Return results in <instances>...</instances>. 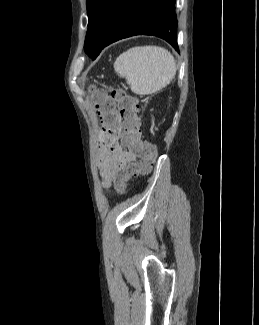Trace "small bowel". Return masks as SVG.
<instances>
[{"label": "small bowel", "instance_id": "small-bowel-1", "mask_svg": "<svg viewBox=\"0 0 259 325\" xmlns=\"http://www.w3.org/2000/svg\"><path fill=\"white\" fill-rule=\"evenodd\" d=\"M137 155L122 142L121 128L107 133L99 158V170L105 188L111 186L115 174L137 162Z\"/></svg>", "mask_w": 259, "mask_h": 325}]
</instances>
